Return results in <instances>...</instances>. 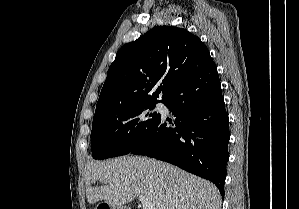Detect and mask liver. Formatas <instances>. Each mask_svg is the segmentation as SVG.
Masks as SVG:
<instances>
[{"label":"liver","instance_id":"6515ba94","mask_svg":"<svg viewBox=\"0 0 299 209\" xmlns=\"http://www.w3.org/2000/svg\"><path fill=\"white\" fill-rule=\"evenodd\" d=\"M105 185L98 187L96 183ZM89 204L104 200L122 207L139 196L155 209H220L221 196L214 184L176 166L147 157L126 156L85 167Z\"/></svg>","mask_w":299,"mask_h":209}]
</instances>
